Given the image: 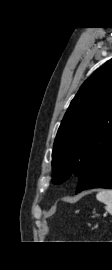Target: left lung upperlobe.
Returning <instances> with one entry per match:
<instances>
[{"instance_id":"5c2ea615","label":"left lung upper lobe","mask_w":112,"mask_h":270,"mask_svg":"<svg viewBox=\"0 0 112 270\" xmlns=\"http://www.w3.org/2000/svg\"><path fill=\"white\" fill-rule=\"evenodd\" d=\"M112 147V59L80 87L58 129L52 152V181L88 176Z\"/></svg>"}]
</instances>
